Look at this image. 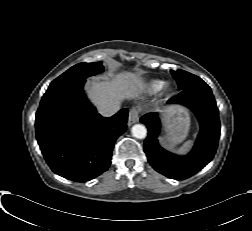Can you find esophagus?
Here are the masks:
<instances>
[{
  "instance_id": "obj_1",
  "label": "esophagus",
  "mask_w": 252,
  "mask_h": 231,
  "mask_svg": "<svg viewBox=\"0 0 252 231\" xmlns=\"http://www.w3.org/2000/svg\"><path fill=\"white\" fill-rule=\"evenodd\" d=\"M139 120V111L137 109H132L129 113L127 125L131 126Z\"/></svg>"
}]
</instances>
